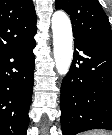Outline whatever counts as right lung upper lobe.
Returning a JSON list of instances; mask_svg holds the SVG:
<instances>
[{
  "mask_svg": "<svg viewBox=\"0 0 112 135\" xmlns=\"http://www.w3.org/2000/svg\"><path fill=\"white\" fill-rule=\"evenodd\" d=\"M36 22L32 0H0V55L35 35Z\"/></svg>",
  "mask_w": 112,
  "mask_h": 135,
  "instance_id": "cb5924a9",
  "label": "right lung upper lobe"
}]
</instances>
